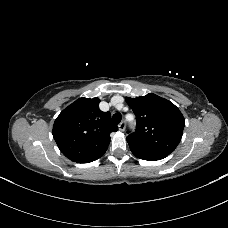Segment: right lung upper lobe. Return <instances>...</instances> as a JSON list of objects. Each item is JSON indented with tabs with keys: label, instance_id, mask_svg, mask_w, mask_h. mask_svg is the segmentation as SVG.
<instances>
[{
	"label": "right lung upper lobe",
	"instance_id": "obj_1",
	"mask_svg": "<svg viewBox=\"0 0 228 228\" xmlns=\"http://www.w3.org/2000/svg\"><path fill=\"white\" fill-rule=\"evenodd\" d=\"M99 103L98 98H79L54 122L53 137L60 151L74 162L106 152L110 133L118 130L110 112L101 111Z\"/></svg>",
	"mask_w": 228,
	"mask_h": 228
}]
</instances>
